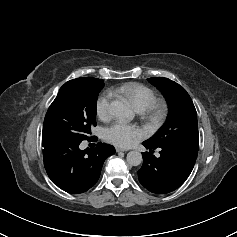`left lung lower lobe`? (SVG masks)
<instances>
[{
  "label": "left lung lower lobe",
  "mask_w": 237,
  "mask_h": 237,
  "mask_svg": "<svg viewBox=\"0 0 237 237\" xmlns=\"http://www.w3.org/2000/svg\"><path fill=\"white\" fill-rule=\"evenodd\" d=\"M150 150L144 152L143 165L138 170L140 183L152 193L166 194L180 187L190 175L198 153V147L167 146L160 148V157L153 155V147L143 142Z\"/></svg>",
  "instance_id": "left-lung-lower-lobe-1"
}]
</instances>
